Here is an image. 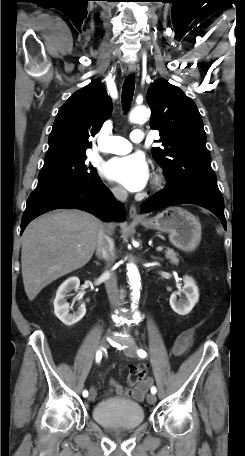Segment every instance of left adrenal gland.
Wrapping results in <instances>:
<instances>
[{
	"label": "left adrenal gland",
	"mask_w": 245,
	"mask_h": 456,
	"mask_svg": "<svg viewBox=\"0 0 245 456\" xmlns=\"http://www.w3.org/2000/svg\"><path fill=\"white\" fill-rule=\"evenodd\" d=\"M152 259H158V260H162L160 257H154V256H151Z\"/></svg>",
	"instance_id": "a2214340"
}]
</instances>
